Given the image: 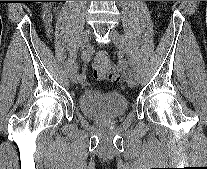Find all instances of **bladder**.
Instances as JSON below:
<instances>
[{
  "label": "bladder",
  "mask_w": 207,
  "mask_h": 169,
  "mask_svg": "<svg viewBox=\"0 0 207 169\" xmlns=\"http://www.w3.org/2000/svg\"><path fill=\"white\" fill-rule=\"evenodd\" d=\"M78 103L81 112L92 119H117L128 109L126 97L115 91L87 89L80 94Z\"/></svg>",
  "instance_id": "31cf9c89"
}]
</instances>
